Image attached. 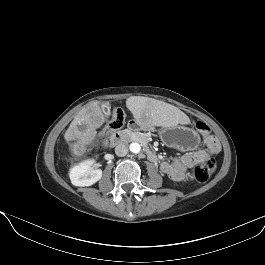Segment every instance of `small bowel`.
Wrapping results in <instances>:
<instances>
[{"mask_svg":"<svg viewBox=\"0 0 265 265\" xmlns=\"http://www.w3.org/2000/svg\"><path fill=\"white\" fill-rule=\"evenodd\" d=\"M205 143V150L186 152L171 162H162L160 165L161 172L173 181H183L188 169L203 161L207 156L220 152V143L214 136L205 139Z\"/></svg>","mask_w":265,"mask_h":265,"instance_id":"small-bowel-1","label":"small bowel"}]
</instances>
